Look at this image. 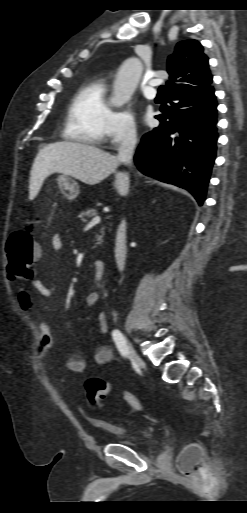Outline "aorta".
<instances>
[{
    "mask_svg": "<svg viewBox=\"0 0 247 513\" xmlns=\"http://www.w3.org/2000/svg\"><path fill=\"white\" fill-rule=\"evenodd\" d=\"M142 73V63L136 57L125 60L120 66L114 83L112 104L123 106L130 100Z\"/></svg>",
    "mask_w": 247,
    "mask_h": 513,
    "instance_id": "aorta-1",
    "label": "aorta"
}]
</instances>
